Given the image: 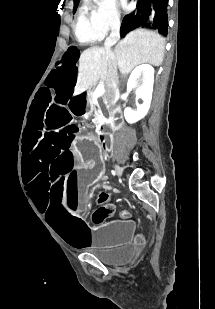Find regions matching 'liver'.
I'll list each match as a JSON object with an SVG mask.
<instances>
[{
	"label": "liver",
	"mask_w": 215,
	"mask_h": 309,
	"mask_svg": "<svg viewBox=\"0 0 215 309\" xmlns=\"http://www.w3.org/2000/svg\"><path fill=\"white\" fill-rule=\"evenodd\" d=\"M165 38L157 30L136 28L117 42L113 52L120 72H131L137 64L149 62L159 66L163 62ZM107 60L104 48L91 46L80 54L78 76L73 96L81 94L87 88L97 84V80H105Z\"/></svg>",
	"instance_id": "6515ba94"
}]
</instances>
